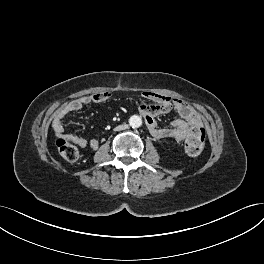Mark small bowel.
<instances>
[{"mask_svg":"<svg viewBox=\"0 0 264 264\" xmlns=\"http://www.w3.org/2000/svg\"><path fill=\"white\" fill-rule=\"evenodd\" d=\"M110 96L109 93H98L92 96L81 97L62 105L56 111L52 123L57 136L72 141L83 148L90 147L97 149L99 142L96 139L88 140L75 134H65L62 120L67 114L79 111L90 103L104 102ZM142 96L153 102V104H139L138 108L150 134L154 138H173L177 141H182L189 137L195 129L202 126L198 113L184 101L172 99L164 94L154 92H144ZM171 109H174L180 118L172 121L169 125L159 126L155 118L161 114L168 113Z\"/></svg>","mask_w":264,"mask_h":264,"instance_id":"1","label":"small bowel"}]
</instances>
